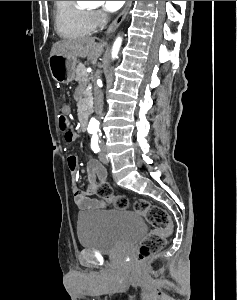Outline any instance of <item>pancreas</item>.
<instances>
[{
	"mask_svg": "<svg viewBox=\"0 0 237 300\" xmlns=\"http://www.w3.org/2000/svg\"><path fill=\"white\" fill-rule=\"evenodd\" d=\"M75 81H78L79 85H83V87H87V85H90L88 77H86L85 69L84 67H77L75 69ZM77 113L78 117L82 119V117H85L87 119L88 115H86V105L84 103V99H79L77 103Z\"/></svg>",
	"mask_w": 237,
	"mask_h": 300,
	"instance_id": "cf45deb5",
	"label": "pancreas"
}]
</instances>
